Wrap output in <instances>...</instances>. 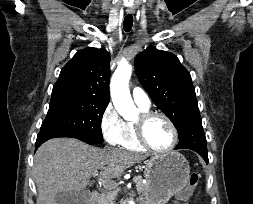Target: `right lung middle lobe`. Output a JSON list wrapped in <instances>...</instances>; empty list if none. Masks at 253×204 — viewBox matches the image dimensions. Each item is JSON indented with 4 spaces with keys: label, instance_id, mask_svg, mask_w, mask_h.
Wrapping results in <instances>:
<instances>
[{
    "label": "right lung middle lobe",
    "instance_id": "1",
    "mask_svg": "<svg viewBox=\"0 0 253 204\" xmlns=\"http://www.w3.org/2000/svg\"><path fill=\"white\" fill-rule=\"evenodd\" d=\"M107 105L108 102L73 89L53 88L49 110L41 130L76 135L100 144L103 142L101 120Z\"/></svg>",
    "mask_w": 253,
    "mask_h": 204
}]
</instances>
